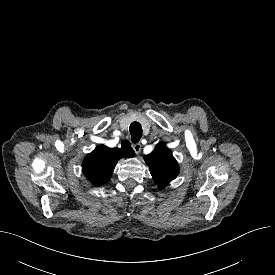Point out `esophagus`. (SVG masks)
<instances>
[{
    "label": "esophagus",
    "mask_w": 275,
    "mask_h": 275,
    "mask_svg": "<svg viewBox=\"0 0 275 275\" xmlns=\"http://www.w3.org/2000/svg\"><path fill=\"white\" fill-rule=\"evenodd\" d=\"M132 148L134 149L136 154H139V152L141 150V144L140 143L133 144Z\"/></svg>",
    "instance_id": "esophagus-1"
}]
</instances>
